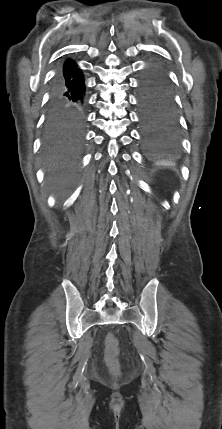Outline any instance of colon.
Listing matches in <instances>:
<instances>
[{"label":"colon","instance_id":"5ec220e1","mask_svg":"<svg viewBox=\"0 0 222 429\" xmlns=\"http://www.w3.org/2000/svg\"><path fill=\"white\" fill-rule=\"evenodd\" d=\"M106 348H107V365L108 368L113 375H119L120 373V366L117 361V341L116 338L109 334L106 339Z\"/></svg>","mask_w":222,"mask_h":429}]
</instances>
